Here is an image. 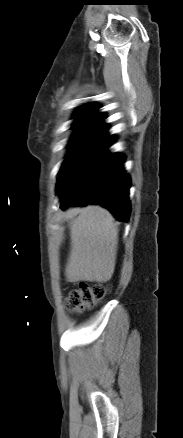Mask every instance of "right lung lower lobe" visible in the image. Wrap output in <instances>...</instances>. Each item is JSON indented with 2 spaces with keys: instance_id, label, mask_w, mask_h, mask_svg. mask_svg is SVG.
<instances>
[{
  "instance_id": "right-lung-lower-lobe-1",
  "label": "right lung lower lobe",
  "mask_w": 183,
  "mask_h": 438,
  "mask_svg": "<svg viewBox=\"0 0 183 438\" xmlns=\"http://www.w3.org/2000/svg\"><path fill=\"white\" fill-rule=\"evenodd\" d=\"M107 130H99L59 174L60 206L99 204L119 221H127L130 177L123 168L124 156L107 152L114 142Z\"/></svg>"
}]
</instances>
